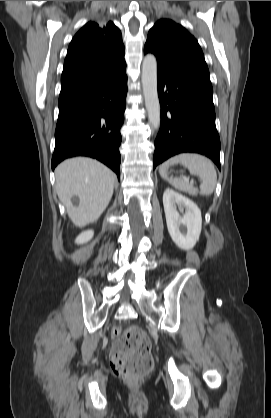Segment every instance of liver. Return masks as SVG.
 <instances>
[{
    "label": "liver",
    "mask_w": 271,
    "mask_h": 418,
    "mask_svg": "<svg viewBox=\"0 0 271 418\" xmlns=\"http://www.w3.org/2000/svg\"><path fill=\"white\" fill-rule=\"evenodd\" d=\"M56 191L77 227L96 221L113 195L115 174L97 160L77 157L65 160L55 170ZM79 198L74 206L71 198Z\"/></svg>",
    "instance_id": "1"
}]
</instances>
